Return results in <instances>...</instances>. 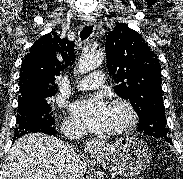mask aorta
Instances as JSON below:
<instances>
[{
	"label": "aorta",
	"mask_w": 183,
	"mask_h": 179,
	"mask_svg": "<svg viewBox=\"0 0 183 179\" xmlns=\"http://www.w3.org/2000/svg\"><path fill=\"white\" fill-rule=\"evenodd\" d=\"M104 60L102 52H92L82 56L78 62V72L87 73L96 69Z\"/></svg>",
	"instance_id": "aorta-1"
}]
</instances>
